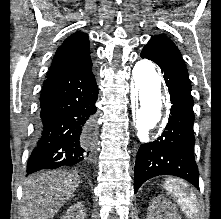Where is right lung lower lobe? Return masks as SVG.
I'll list each match as a JSON object with an SVG mask.
<instances>
[{
    "mask_svg": "<svg viewBox=\"0 0 221 219\" xmlns=\"http://www.w3.org/2000/svg\"><path fill=\"white\" fill-rule=\"evenodd\" d=\"M97 98L91 58L44 81L28 174L93 159L91 125Z\"/></svg>",
    "mask_w": 221,
    "mask_h": 219,
    "instance_id": "obj_1",
    "label": "right lung lower lobe"
}]
</instances>
